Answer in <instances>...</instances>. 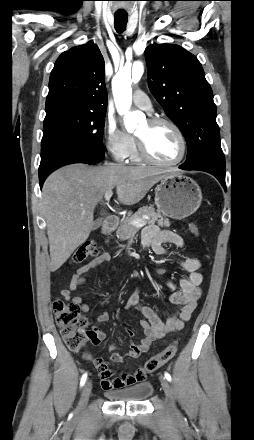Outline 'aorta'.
Instances as JSON below:
<instances>
[{"label":"aorta","mask_w":254,"mask_h":440,"mask_svg":"<svg viewBox=\"0 0 254 440\" xmlns=\"http://www.w3.org/2000/svg\"><path fill=\"white\" fill-rule=\"evenodd\" d=\"M143 73V63L137 61L132 67V77L131 65H125L112 79V91L116 109L120 115H124V125L128 132H133L142 118L140 112H130V107L132 104V82H138Z\"/></svg>","instance_id":"obj_1"}]
</instances>
